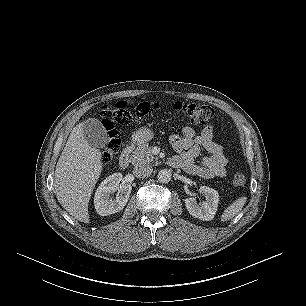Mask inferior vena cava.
Masks as SVG:
<instances>
[{
    "label": "inferior vena cava",
    "instance_id": "602c4592",
    "mask_svg": "<svg viewBox=\"0 0 306 306\" xmlns=\"http://www.w3.org/2000/svg\"><path fill=\"white\" fill-rule=\"evenodd\" d=\"M153 168L149 165H139L133 170V174L138 178L148 177L152 174Z\"/></svg>",
    "mask_w": 306,
    "mask_h": 306
}]
</instances>
